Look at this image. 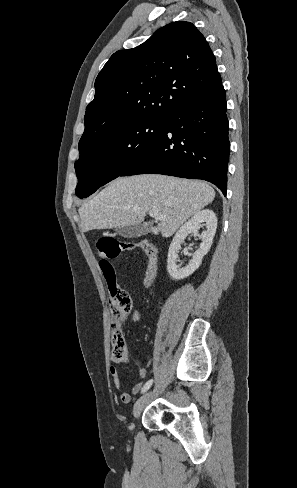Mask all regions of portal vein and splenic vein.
Returning a JSON list of instances; mask_svg holds the SVG:
<instances>
[{"label": "portal vein and splenic vein", "instance_id": "obj_1", "mask_svg": "<svg viewBox=\"0 0 297 488\" xmlns=\"http://www.w3.org/2000/svg\"><path fill=\"white\" fill-rule=\"evenodd\" d=\"M149 215H150L151 217H154V218H155V219H157V220H162V219H164V218H165V217H164L162 214H160V213H159L158 211H156V210H150V211H149Z\"/></svg>", "mask_w": 297, "mask_h": 488}]
</instances>
